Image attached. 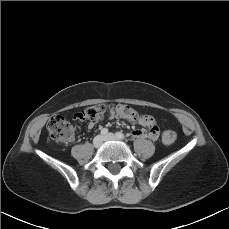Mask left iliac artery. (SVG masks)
I'll list each match as a JSON object with an SVG mask.
<instances>
[{
    "label": "left iliac artery",
    "instance_id": "44dca946",
    "mask_svg": "<svg viewBox=\"0 0 229 229\" xmlns=\"http://www.w3.org/2000/svg\"><path fill=\"white\" fill-rule=\"evenodd\" d=\"M116 136H117L119 139H124V138H125V135H124L122 132H116Z\"/></svg>",
    "mask_w": 229,
    "mask_h": 229
}]
</instances>
